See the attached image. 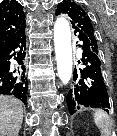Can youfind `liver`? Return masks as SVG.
Wrapping results in <instances>:
<instances>
[{"instance_id":"obj_1","label":"liver","mask_w":117,"mask_h":136,"mask_svg":"<svg viewBox=\"0 0 117 136\" xmlns=\"http://www.w3.org/2000/svg\"><path fill=\"white\" fill-rule=\"evenodd\" d=\"M23 121L22 102L0 95V136H18Z\"/></svg>"}]
</instances>
